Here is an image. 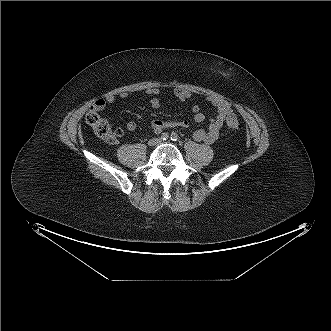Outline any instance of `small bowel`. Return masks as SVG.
Masks as SVG:
<instances>
[{
	"mask_svg": "<svg viewBox=\"0 0 331 331\" xmlns=\"http://www.w3.org/2000/svg\"><path fill=\"white\" fill-rule=\"evenodd\" d=\"M145 93L147 96L150 97L151 107L155 109L159 108L161 105L160 99L158 98L160 91L157 88H149L146 90ZM173 94L176 98H178L182 102L187 101L191 97V92L182 88L174 89ZM129 95H130L129 92H121L118 94V97L121 99H126L127 97H129ZM115 99L116 96L112 94L107 95L105 98L98 99L91 107V110L101 111L104 109L107 103L109 104L113 103ZM205 100L207 103H209L210 105L216 108V115L215 117L210 119L208 129L207 130L198 129L194 131L193 138L195 141L198 142L213 144L219 137L220 130L224 125L226 117H228L233 113V109L231 104L227 100L218 96H213V95L207 96ZM191 110L194 114L195 122L200 123L205 120V115L201 112L200 107L198 105L192 106ZM176 126L187 128L189 126V122L187 120H183L180 122H176V121L165 122L162 120H154L151 123V128L156 134L161 133L163 129L166 127H176ZM126 128L129 131H135L137 129V123L134 121H129L126 124ZM119 131L121 132L120 129Z\"/></svg>",
	"mask_w": 331,
	"mask_h": 331,
	"instance_id": "1",
	"label": "small bowel"
}]
</instances>
